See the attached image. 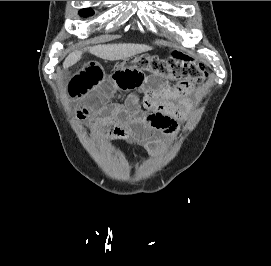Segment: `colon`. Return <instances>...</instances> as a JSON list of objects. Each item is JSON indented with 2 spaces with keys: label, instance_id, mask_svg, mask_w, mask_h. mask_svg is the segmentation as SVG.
<instances>
[{
  "label": "colon",
  "instance_id": "1",
  "mask_svg": "<svg viewBox=\"0 0 271 266\" xmlns=\"http://www.w3.org/2000/svg\"><path fill=\"white\" fill-rule=\"evenodd\" d=\"M136 67L164 79L175 81L185 90H191L206 78V72L198 66L177 64L169 59L153 55H140L122 61L118 69Z\"/></svg>",
  "mask_w": 271,
  "mask_h": 266
}]
</instances>
